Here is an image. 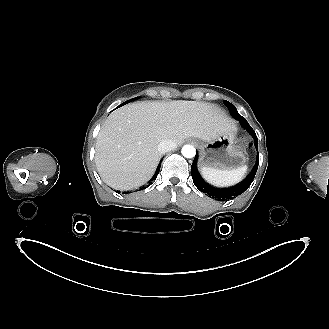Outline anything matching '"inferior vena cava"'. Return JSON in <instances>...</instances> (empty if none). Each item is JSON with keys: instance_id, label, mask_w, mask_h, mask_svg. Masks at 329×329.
I'll use <instances>...</instances> for the list:
<instances>
[{"instance_id": "obj_1", "label": "inferior vena cava", "mask_w": 329, "mask_h": 329, "mask_svg": "<svg viewBox=\"0 0 329 329\" xmlns=\"http://www.w3.org/2000/svg\"><path fill=\"white\" fill-rule=\"evenodd\" d=\"M176 143L171 140V139H165V140H162L159 144H158V151L160 153H165V152H168V151H171L173 150L174 148H176Z\"/></svg>"}]
</instances>
